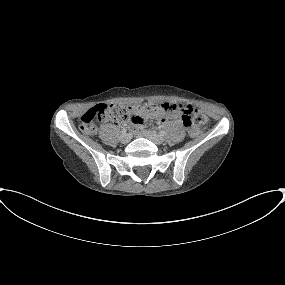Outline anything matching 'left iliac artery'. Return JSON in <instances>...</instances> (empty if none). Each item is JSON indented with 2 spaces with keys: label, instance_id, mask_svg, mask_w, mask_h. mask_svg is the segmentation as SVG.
I'll list each match as a JSON object with an SVG mask.
<instances>
[{
  "label": "left iliac artery",
  "instance_id": "1",
  "mask_svg": "<svg viewBox=\"0 0 285 285\" xmlns=\"http://www.w3.org/2000/svg\"><path fill=\"white\" fill-rule=\"evenodd\" d=\"M160 135H161V136H165V135H166V132L163 131V130H161V131H160Z\"/></svg>",
  "mask_w": 285,
  "mask_h": 285
}]
</instances>
